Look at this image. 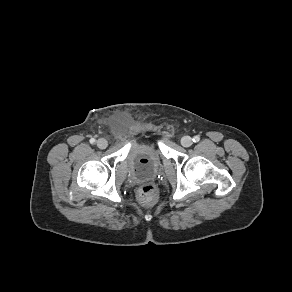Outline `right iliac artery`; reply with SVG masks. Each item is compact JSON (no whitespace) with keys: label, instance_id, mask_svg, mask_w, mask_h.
Returning a JSON list of instances; mask_svg holds the SVG:
<instances>
[{"label":"right iliac artery","instance_id":"82829eb1","mask_svg":"<svg viewBox=\"0 0 292 292\" xmlns=\"http://www.w3.org/2000/svg\"><path fill=\"white\" fill-rule=\"evenodd\" d=\"M90 143H91V144H94V143H95V139H94V138H91V139H90Z\"/></svg>","mask_w":292,"mask_h":292}]
</instances>
